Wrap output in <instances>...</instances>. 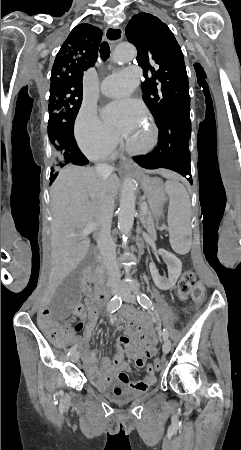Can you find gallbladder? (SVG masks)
<instances>
[{"label":"gallbladder","mask_w":241,"mask_h":450,"mask_svg":"<svg viewBox=\"0 0 241 450\" xmlns=\"http://www.w3.org/2000/svg\"><path fill=\"white\" fill-rule=\"evenodd\" d=\"M93 258V254H88L81 264L80 268L87 266L88 260ZM82 281V272L80 270H71L65 275L64 281H61L59 289L54 296V301H49L48 308L53 310V319L58 323H65L69 315H74L76 305H80V295L82 292L80 283Z\"/></svg>","instance_id":"gallbladder-1"}]
</instances>
